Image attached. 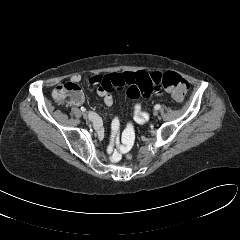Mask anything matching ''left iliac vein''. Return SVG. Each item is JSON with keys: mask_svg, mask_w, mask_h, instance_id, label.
<instances>
[{"mask_svg": "<svg viewBox=\"0 0 240 240\" xmlns=\"http://www.w3.org/2000/svg\"><path fill=\"white\" fill-rule=\"evenodd\" d=\"M153 115H154V116H157V115H158V111L155 110V111L153 112Z\"/></svg>", "mask_w": 240, "mask_h": 240, "instance_id": "left-iliac-vein-1", "label": "left iliac vein"}]
</instances>
